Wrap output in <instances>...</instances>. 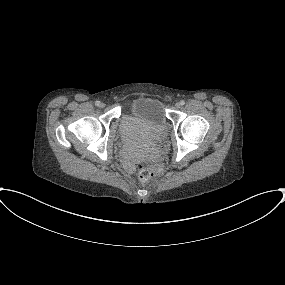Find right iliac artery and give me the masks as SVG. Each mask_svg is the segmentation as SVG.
<instances>
[{
    "instance_id": "obj_1",
    "label": "right iliac artery",
    "mask_w": 285,
    "mask_h": 285,
    "mask_svg": "<svg viewBox=\"0 0 285 285\" xmlns=\"http://www.w3.org/2000/svg\"><path fill=\"white\" fill-rule=\"evenodd\" d=\"M99 104H100V101H96V102H95V105H96V106H99Z\"/></svg>"
}]
</instances>
